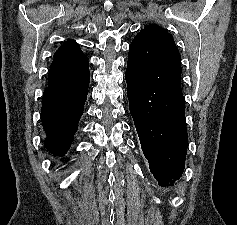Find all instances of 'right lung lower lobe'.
Instances as JSON below:
<instances>
[{"label": "right lung lower lobe", "instance_id": "1", "mask_svg": "<svg viewBox=\"0 0 237 225\" xmlns=\"http://www.w3.org/2000/svg\"><path fill=\"white\" fill-rule=\"evenodd\" d=\"M88 86L89 80L75 88H50L43 93L44 144L55 156H64L72 144L83 114Z\"/></svg>", "mask_w": 237, "mask_h": 225}]
</instances>
